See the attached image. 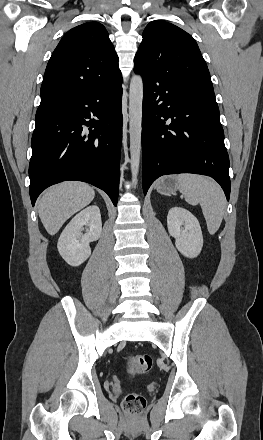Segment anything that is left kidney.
I'll list each match as a JSON object with an SVG mask.
<instances>
[{
    "instance_id": "left-kidney-1",
    "label": "left kidney",
    "mask_w": 263,
    "mask_h": 440,
    "mask_svg": "<svg viewBox=\"0 0 263 440\" xmlns=\"http://www.w3.org/2000/svg\"><path fill=\"white\" fill-rule=\"evenodd\" d=\"M167 227L182 255L195 258L200 254L203 247L202 231L199 221L191 212L182 207H172L167 215Z\"/></svg>"
}]
</instances>
